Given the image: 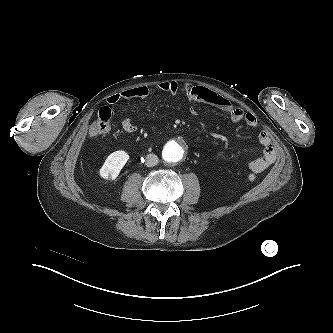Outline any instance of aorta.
Listing matches in <instances>:
<instances>
[{"label":"aorta","mask_w":333,"mask_h":333,"mask_svg":"<svg viewBox=\"0 0 333 333\" xmlns=\"http://www.w3.org/2000/svg\"><path fill=\"white\" fill-rule=\"evenodd\" d=\"M183 155V146L176 142L174 144H166L162 152L163 159L169 163L180 161L183 158Z\"/></svg>","instance_id":"1"}]
</instances>
